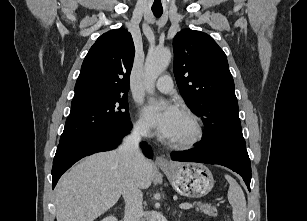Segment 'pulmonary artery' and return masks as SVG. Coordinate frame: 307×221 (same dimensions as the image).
Returning a JSON list of instances; mask_svg holds the SVG:
<instances>
[{
	"mask_svg": "<svg viewBox=\"0 0 307 221\" xmlns=\"http://www.w3.org/2000/svg\"><path fill=\"white\" fill-rule=\"evenodd\" d=\"M156 88L162 93L173 92V82L169 75H164L158 79L156 82Z\"/></svg>",
	"mask_w": 307,
	"mask_h": 221,
	"instance_id": "e3ab8cb5",
	"label": "pulmonary artery"
}]
</instances>
